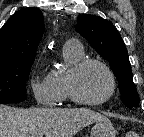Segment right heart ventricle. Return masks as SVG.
<instances>
[{
    "instance_id": "e07e8e85",
    "label": "right heart ventricle",
    "mask_w": 144,
    "mask_h": 137,
    "mask_svg": "<svg viewBox=\"0 0 144 137\" xmlns=\"http://www.w3.org/2000/svg\"><path fill=\"white\" fill-rule=\"evenodd\" d=\"M84 56L82 46L74 41H68L63 47V58L65 62L64 69L52 70L49 74L52 79L53 87L57 95L58 102L68 99V91L66 86V78L69 69L81 60Z\"/></svg>"
}]
</instances>
